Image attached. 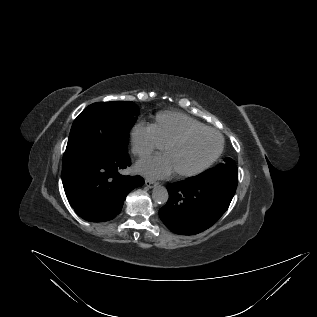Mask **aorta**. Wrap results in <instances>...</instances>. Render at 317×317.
<instances>
[{
    "instance_id": "aorta-1",
    "label": "aorta",
    "mask_w": 317,
    "mask_h": 317,
    "mask_svg": "<svg viewBox=\"0 0 317 317\" xmlns=\"http://www.w3.org/2000/svg\"><path fill=\"white\" fill-rule=\"evenodd\" d=\"M169 194L165 187L156 186L152 191V199L157 204H165L168 201Z\"/></svg>"
}]
</instances>
